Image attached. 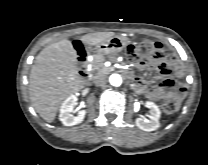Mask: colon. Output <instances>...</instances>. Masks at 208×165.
Instances as JSON below:
<instances>
[{
    "mask_svg": "<svg viewBox=\"0 0 208 165\" xmlns=\"http://www.w3.org/2000/svg\"><path fill=\"white\" fill-rule=\"evenodd\" d=\"M127 54L135 63H141L147 58L159 63L166 52L160 43L151 41L150 39H143L139 43L129 44L127 46ZM181 95L182 93H179L165 100L162 104L163 111L165 113L176 111L180 104Z\"/></svg>",
    "mask_w": 208,
    "mask_h": 165,
    "instance_id": "colon-1",
    "label": "colon"
}]
</instances>
